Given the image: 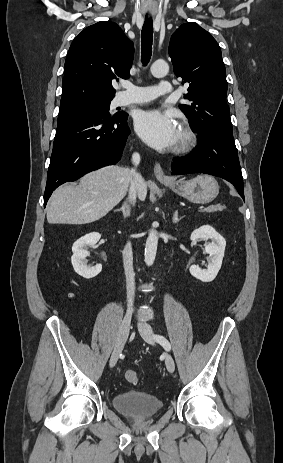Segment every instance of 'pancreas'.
Masks as SVG:
<instances>
[{
  "mask_svg": "<svg viewBox=\"0 0 283 463\" xmlns=\"http://www.w3.org/2000/svg\"><path fill=\"white\" fill-rule=\"evenodd\" d=\"M223 207L220 206V205H216V206H210L208 208L205 209L206 212H215V211H218V210H222Z\"/></svg>",
  "mask_w": 283,
  "mask_h": 463,
  "instance_id": "cf45deb5",
  "label": "pancreas"
}]
</instances>
